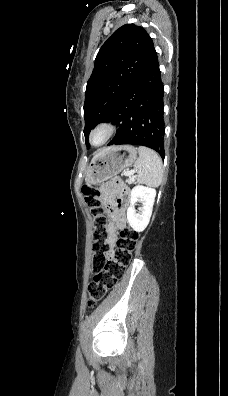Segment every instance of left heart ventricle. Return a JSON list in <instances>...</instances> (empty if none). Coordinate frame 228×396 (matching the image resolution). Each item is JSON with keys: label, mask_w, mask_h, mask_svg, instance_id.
Here are the masks:
<instances>
[{"label": "left heart ventricle", "mask_w": 228, "mask_h": 396, "mask_svg": "<svg viewBox=\"0 0 228 396\" xmlns=\"http://www.w3.org/2000/svg\"><path fill=\"white\" fill-rule=\"evenodd\" d=\"M102 138H103V134H102L101 132H99V133H97V134L95 135L94 141H95L96 143H98V142H100V141L102 140Z\"/></svg>", "instance_id": "left-heart-ventricle-1"}]
</instances>
